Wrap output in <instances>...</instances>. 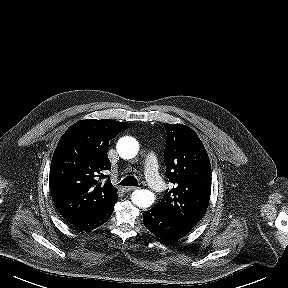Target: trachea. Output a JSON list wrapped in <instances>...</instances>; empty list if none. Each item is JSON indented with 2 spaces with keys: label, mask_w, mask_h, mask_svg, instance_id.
Listing matches in <instances>:
<instances>
[{
  "label": "trachea",
  "mask_w": 288,
  "mask_h": 288,
  "mask_svg": "<svg viewBox=\"0 0 288 288\" xmlns=\"http://www.w3.org/2000/svg\"><path fill=\"white\" fill-rule=\"evenodd\" d=\"M120 185H122V186H137L138 187V181L134 176H127L120 182Z\"/></svg>",
  "instance_id": "obj_1"
}]
</instances>
